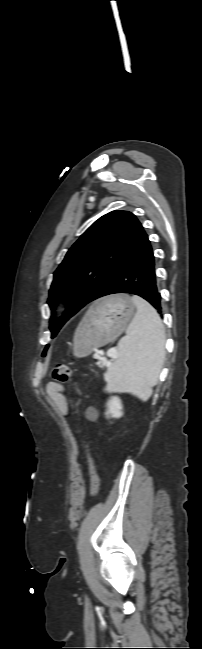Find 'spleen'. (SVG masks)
Instances as JSON below:
<instances>
[{
  "mask_svg": "<svg viewBox=\"0 0 202 649\" xmlns=\"http://www.w3.org/2000/svg\"><path fill=\"white\" fill-rule=\"evenodd\" d=\"M137 312L126 336L118 343V355L105 375L107 392H130L142 401L148 400L165 355V328L156 310L143 298L134 295Z\"/></svg>",
  "mask_w": 202,
  "mask_h": 649,
  "instance_id": "1",
  "label": "spleen"
}]
</instances>
